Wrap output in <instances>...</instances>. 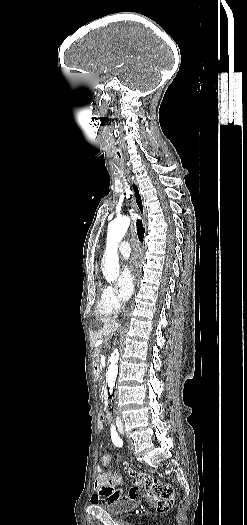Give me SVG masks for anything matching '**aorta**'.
<instances>
[{"mask_svg":"<svg viewBox=\"0 0 247 525\" xmlns=\"http://www.w3.org/2000/svg\"><path fill=\"white\" fill-rule=\"evenodd\" d=\"M130 225V218L128 216H120L110 222L107 230L106 251L103 258V275L107 282L112 283L118 279L119 276V258L117 247L119 242L123 239L125 233ZM118 349H114L110 357V365L106 373V381L110 388V393L113 391L115 381L118 374Z\"/></svg>","mask_w":247,"mask_h":525,"instance_id":"aorta-1","label":"aorta"}]
</instances>
